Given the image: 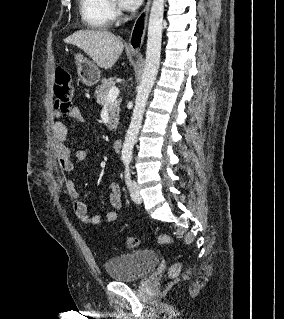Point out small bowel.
I'll return each mask as SVG.
<instances>
[{
	"instance_id": "c3829d8e",
	"label": "small bowel",
	"mask_w": 284,
	"mask_h": 319,
	"mask_svg": "<svg viewBox=\"0 0 284 319\" xmlns=\"http://www.w3.org/2000/svg\"><path fill=\"white\" fill-rule=\"evenodd\" d=\"M55 115L58 116L57 113ZM69 116L78 122L84 121V117L78 108H73ZM52 131L59 168L67 176L65 187L70 197L74 198L72 208L75 215L84 224L100 225L103 223H112L116 221L118 216L117 212L122 206V194L119 185L116 183H112L109 186V201L112 207L111 210L106 212L104 216L98 214H89L85 202L78 199L79 191L74 180L70 178V175L74 169L72 161L73 157H75L78 161H85L88 158L90 152L86 147H80L73 155L72 151L66 143L68 126L64 122L56 120L53 124Z\"/></svg>"
}]
</instances>
